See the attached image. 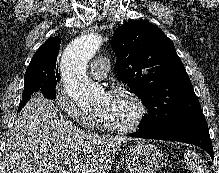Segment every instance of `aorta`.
<instances>
[{
  "mask_svg": "<svg viewBox=\"0 0 219 173\" xmlns=\"http://www.w3.org/2000/svg\"><path fill=\"white\" fill-rule=\"evenodd\" d=\"M102 43L96 33L84 34L74 39L65 49L61 59V72L67 93L78 101H92L100 88L86 75V65Z\"/></svg>",
  "mask_w": 219,
  "mask_h": 173,
  "instance_id": "1",
  "label": "aorta"
}]
</instances>
